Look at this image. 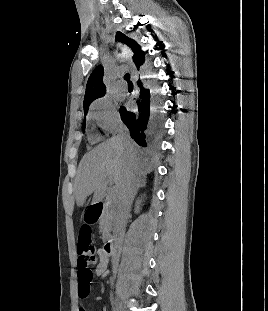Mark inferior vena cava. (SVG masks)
<instances>
[{"label":"inferior vena cava","instance_id":"1","mask_svg":"<svg viewBox=\"0 0 268 311\" xmlns=\"http://www.w3.org/2000/svg\"><path fill=\"white\" fill-rule=\"evenodd\" d=\"M120 137L126 139V135L121 133ZM136 181L133 178H127L118 195L117 207L114 217V246L120 248L123 243L127 217L129 215L130 206L135 195ZM120 251H115L112 255V264L118 266Z\"/></svg>","mask_w":268,"mask_h":311}]
</instances>
